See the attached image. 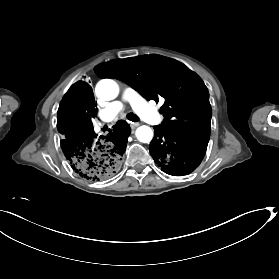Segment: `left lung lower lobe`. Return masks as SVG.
Wrapping results in <instances>:
<instances>
[{
  "label": "left lung lower lobe",
  "instance_id": "1",
  "mask_svg": "<svg viewBox=\"0 0 279 279\" xmlns=\"http://www.w3.org/2000/svg\"><path fill=\"white\" fill-rule=\"evenodd\" d=\"M149 151L155 163L167 174L187 175L201 163L210 134L182 133L154 127Z\"/></svg>",
  "mask_w": 279,
  "mask_h": 279
}]
</instances>
